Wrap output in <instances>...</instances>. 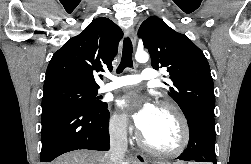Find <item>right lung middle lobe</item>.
<instances>
[{"instance_id": "dd1d6c3e", "label": "right lung middle lobe", "mask_w": 251, "mask_h": 164, "mask_svg": "<svg viewBox=\"0 0 251 164\" xmlns=\"http://www.w3.org/2000/svg\"><path fill=\"white\" fill-rule=\"evenodd\" d=\"M97 90L76 87H59L44 91L42 109L51 106H72L84 109H99L106 105L96 97Z\"/></svg>"}]
</instances>
